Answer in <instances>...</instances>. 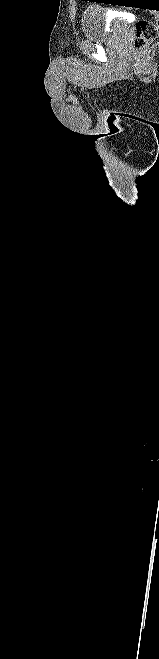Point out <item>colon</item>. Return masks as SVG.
Segmentation results:
<instances>
[{"label": "colon", "mask_w": 159, "mask_h": 659, "mask_svg": "<svg viewBox=\"0 0 159 659\" xmlns=\"http://www.w3.org/2000/svg\"><path fill=\"white\" fill-rule=\"evenodd\" d=\"M159 35V28L153 20L143 19L136 24L133 38V48L135 50L143 49L148 42L154 40Z\"/></svg>", "instance_id": "colon-1"}]
</instances>
